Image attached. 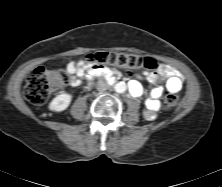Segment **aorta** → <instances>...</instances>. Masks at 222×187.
Listing matches in <instances>:
<instances>
[{"label":"aorta","instance_id":"1","mask_svg":"<svg viewBox=\"0 0 222 187\" xmlns=\"http://www.w3.org/2000/svg\"><path fill=\"white\" fill-rule=\"evenodd\" d=\"M115 91L118 92V93H123L126 91L127 89V86L124 82H119L115 85Z\"/></svg>","mask_w":222,"mask_h":187}]
</instances>
